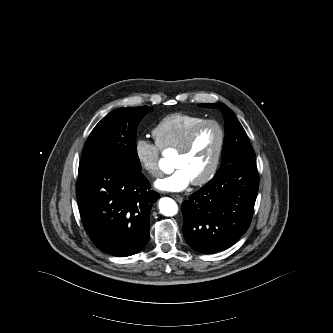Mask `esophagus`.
<instances>
[{"label": "esophagus", "mask_w": 333, "mask_h": 333, "mask_svg": "<svg viewBox=\"0 0 333 333\" xmlns=\"http://www.w3.org/2000/svg\"><path fill=\"white\" fill-rule=\"evenodd\" d=\"M172 197L179 203H182L183 202V198L179 195H172Z\"/></svg>", "instance_id": "obj_1"}]
</instances>
